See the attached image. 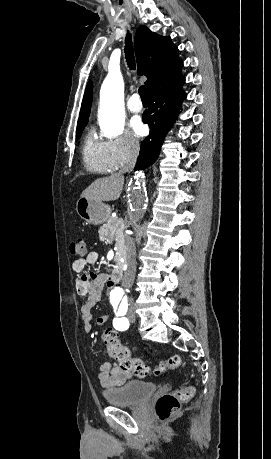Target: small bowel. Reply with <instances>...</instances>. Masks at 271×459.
I'll use <instances>...</instances> for the list:
<instances>
[{
	"instance_id": "c3829d8e",
	"label": "small bowel",
	"mask_w": 271,
	"mask_h": 459,
	"mask_svg": "<svg viewBox=\"0 0 271 459\" xmlns=\"http://www.w3.org/2000/svg\"><path fill=\"white\" fill-rule=\"evenodd\" d=\"M98 258V253L91 251L85 257L76 259L72 264L73 271L78 274L77 293L85 298L81 305V318L86 333H90L92 330V309L100 302L105 285L110 284V278L107 274L85 271L86 267L94 265ZM107 319L108 313L105 312L97 317L96 322L99 326H103ZM98 378L103 389L118 388L130 378V372L123 370L117 363L105 362L99 367Z\"/></svg>"
}]
</instances>
